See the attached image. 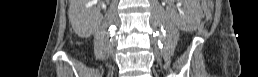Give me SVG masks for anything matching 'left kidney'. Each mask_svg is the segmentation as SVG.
Returning a JSON list of instances; mask_svg holds the SVG:
<instances>
[{
    "instance_id": "1",
    "label": "left kidney",
    "mask_w": 258,
    "mask_h": 77,
    "mask_svg": "<svg viewBox=\"0 0 258 77\" xmlns=\"http://www.w3.org/2000/svg\"><path fill=\"white\" fill-rule=\"evenodd\" d=\"M187 2V1H184ZM194 11L191 10L189 7L185 9V14L183 16H178L177 20L180 23V25L185 29L187 28L190 24L194 22Z\"/></svg>"
}]
</instances>
